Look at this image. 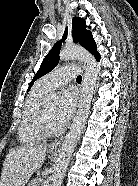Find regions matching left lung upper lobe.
Instances as JSON below:
<instances>
[{"label": "left lung upper lobe", "mask_w": 138, "mask_h": 186, "mask_svg": "<svg viewBox=\"0 0 138 186\" xmlns=\"http://www.w3.org/2000/svg\"><path fill=\"white\" fill-rule=\"evenodd\" d=\"M67 32L68 30L66 28L65 33L62 37V41L66 39ZM73 39L75 42H78L82 47L86 48L90 53L94 54L96 60H100V55L97 51L96 43L92 37V34L90 31L85 29L84 19H81L79 17L73 18ZM60 49L61 41H58L44 58L39 70L33 77L29 88L38 78L50 72L58 64Z\"/></svg>", "instance_id": "1"}]
</instances>
